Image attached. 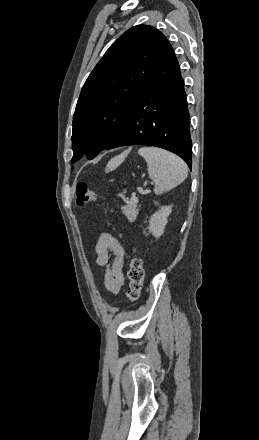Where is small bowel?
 <instances>
[{
	"mask_svg": "<svg viewBox=\"0 0 259 440\" xmlns=\"http://www.w3.org/2000/svg\"><path fill=\"white\" fill-rule=\"evenodd\" d=\"M95 250L97 265L104 267V287L108 292L117 294L125 283L124 247L111 233L102 232L97 238Z\"/></svg>",
	"mask_w": 259,
	"mask_h": 440,
	"instance_id": "small-bowel-1",
	"label": "small bowel"
}]
</instances>
